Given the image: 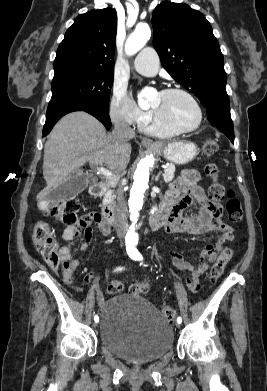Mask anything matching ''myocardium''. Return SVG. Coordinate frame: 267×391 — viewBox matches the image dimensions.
Wrapping results in <instances>:
<instances>
[{
	"instance_id": "myocardium-1",
	"label": "myocardium",
	"mask_w": 267,
	"mask_h": 391,
	"mask_svg": "<svg viewBox=\"0 0 267 391\" xmlns=\"http://www.w3.org/2000/svg\"><path fill=\"white\" fill-rule=\"evenodd\" d=\"M160 94L162 95H170V94H182L184 95L185 97H187L192 103L193 105L195 106L196 108V111H197V115H198V118H197V122L194 126L192 127H189V128H181V127H178V126H175L165 120H163L159 115L158 113L152 109V115H153V120L154 122L163 127V128H166L168 130H171L175 133H188V132H193L195 130H197L198 128L201 127L202 123H203V120H204V113H203V109H202V106L201 104L199 103V101L197 100V98L191 93L189 92L188 90L184 89V88H180V87H168V88H165L163 89Z\"/></svg>"
}]
</instances>
